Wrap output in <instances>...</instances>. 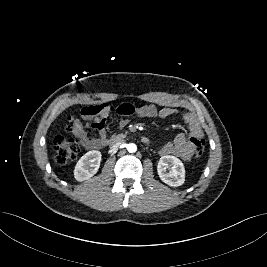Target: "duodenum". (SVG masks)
Listing matches in <instances>:
<instances>
[{
    "label": "duodenum",
    "instance_id": "1",
    "mask_svg": "<svg viewBox=\"0 0 267 267\" xmlns=\"http://www.w3.org/2000/svg\"><path fill=\"white\" fill-rule=\"evenodd\" d=\"M123 140H124L123 135H116L110 139L109 143H110L111 147L114 148V147H117ZM141 141L143 143L147 144L149 142V139L145 136H142Z\"/></svg>",
    "mask_w": 267,
    "mask_h": 267
}]
</instances>
